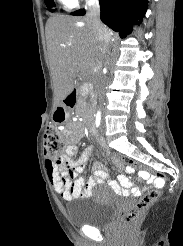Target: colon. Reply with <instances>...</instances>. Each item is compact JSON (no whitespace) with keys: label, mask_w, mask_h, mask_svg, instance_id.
Returning <instances> with one entry per match:
<instances>
[{"label":"colon","mask_w":183,"mask_h":246,"mask_svg":"<svg viewBox=\"0 0 183 246\" xmlns=\"http://www.w3.org/2000/svg\"><path fill=\"white\" fill-rule=\"evenodd\" d=\"M58 117L60 120H63L64 112L59 111ZM62 147L63 141L60 132L55 126H48L44 136V149L51 162L55 164L63 163L64 160L60 154ZM111 152L114 153L115 151L112 150ZM114 155L121 160V162H125V165L136 167V169H143V172H151L152 175H157V179H159V185L156 189L142 196L133 208L122 213L118 226V229H121L123 227H130L136 223L140 216L159 198V188L163 182H168L169 179L168 174H162L161 170H154V167H147V164L144 162H136V160H133V157H129V155H121L120 152H115Z\"/></svg>","instance_id":"5ec220e1"}]
</instances>
